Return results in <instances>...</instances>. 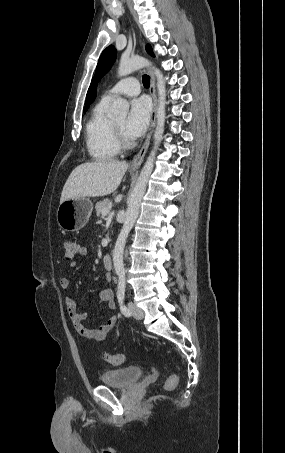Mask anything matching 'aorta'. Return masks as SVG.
Listing matches in <instances>:
<instances>
[{
  "label": "aorta",
  "instance_id": "762f6f07",
  "mask_svg": "<svg viewBox=\"0 0 285 453\" xmlns=\"http://www.w3.org/2000/svg\"><path fill=\"white\" fill-rule=\"evenodd\" d=\"M151 65L148 60L140 56L126 57L122 56L118 67V76L123 77L129 75L135 70ZM153 73L157 79L158 89V107L156 111L157 125L154 131V147L147 158L137 183L131 196L128 200V208L126 211V218L122 229L118 235L115 247L113 250V265L116 273L124 271L123 252L129 232L131 231L139 214V207L142 197L145 193L149 177L154 167V158L156 155L157 147L163 137L164 124H165V103H166V90L163 74L156 67H152ZM111 111L113 115L125 117L129 111V103L123 98H116L112 103Z\"/></svg>",
  "mask_w": 285,
  "mask_h": 453
}]
</instances>
